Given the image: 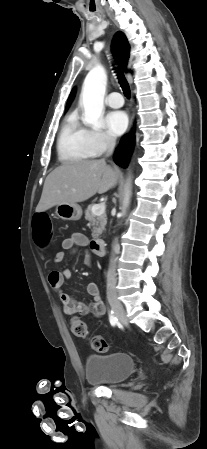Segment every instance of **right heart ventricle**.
I'll return each mask as SVG.
<instances>
[{
    "mask_svg": "<svg viewBox=\"0 0 207 449\" xmlns=\"http://www.w3.org/2000/svg\"><path fill=\"white\" fill-rule=\"evenodd\" d=\"M57 153L63 163L85 160L95 155L88 142L87 130L81 125L76 113L69 114L61 127Z\"/></svg>",
    "mask_w": 207,
    "mask_h": 449,
    "instance_id": "right-heart-ventricle-1",
    "label": "right heart ventricle"
}]
</instances>
